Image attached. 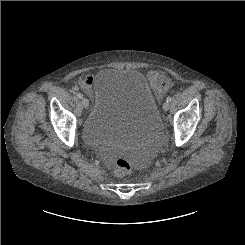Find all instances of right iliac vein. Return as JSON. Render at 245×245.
I'll return each instance as SVG.
<instances>
[{
  "mask_svg": "<svg viewBox=\"0 0 245 245\" xmlns=\"http://www.w3.org/2000/svg\"><path fill=\"white\" fill-rule=\"evenodd\" d=\"M81 104L84 108H87L89 106V101L86 98L81 99Z\"/></svg>",
  "mask_w": 245,
  "mask_h": 245,
  "instance_id": "obj_1",
  "label": "right iliac vein"
}]
</instances>
